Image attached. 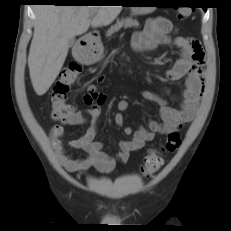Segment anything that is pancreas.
I'll return each instance as SVG.
<instances>
[{
    "label": "pancreas",
    "instance_id": "pancreas-1",
    "mask_svg": "<svg viewBox=\"0 0 231 231\" xmlns=\"http://www.w3.org/2000/svg\"><path fill=\"white\" fill-rule=\"evenodd\" d=\"M139 23L136 19H132L131 17L122 18L121 20H117L116 23L111 26V28L107 31L106 36L109 37L115 32H118L122 27L124 28H131V27H138Z\"/></svg>",
    "mask_w": 231,
    "mask_h": 231
}]
</instances>
